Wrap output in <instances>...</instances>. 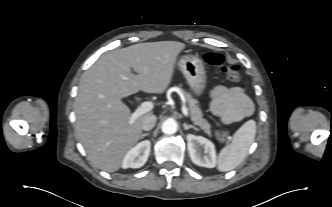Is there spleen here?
Here are the masks:
<instances>
[{"label": "spleen", "instance_id": "3e777b00", "mask_svg": "<svg viewBox=\"0 0 332 207\" xmlns=\"http://www.w3.org/2000/svg\"><path fill=\"white\" fill-rule=\"evenodd\" d=\"M256 134V122L249 120L234 134L232 142L218 156V170L227 172L236 168L246 157Z\"/></svg>", "mask_w": 332, "mask_h": 207}]
</instances>
